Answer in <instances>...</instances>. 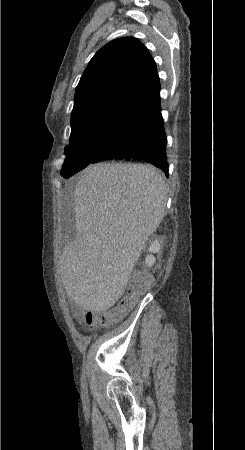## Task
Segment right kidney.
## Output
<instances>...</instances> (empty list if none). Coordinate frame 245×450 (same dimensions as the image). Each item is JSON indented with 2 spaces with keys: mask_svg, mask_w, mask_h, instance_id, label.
Listing matches in <instances>:
<instances>
[{
  "mask_svg": "<svg viewBox=\"0 0 245 450\" xmlns=\"http://www.w3.org/2000/svg\"><path fill=\"white\" fill-rule=\"evenodd\" d=\"M160 243L158 240H155L154 242L151 243L150 247H149V252L150 253H158L160 251ZM145 263L148 267H151L154 263H155V257L153 255H148L146 257Z\"/></svg>",
  "mask_w": 245,
  "mask_h": 450,
  "instance_id": "right-kidney-1",
  "label": "right kidney"
}]
</instances>
